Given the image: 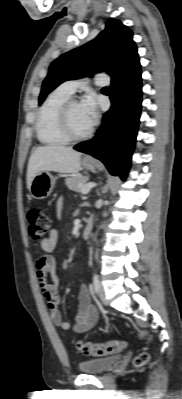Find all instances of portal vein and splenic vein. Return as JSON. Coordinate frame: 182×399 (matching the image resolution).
I'll list each match as a JSON object with an SVG mask.
<instances>
[{
    "label": "portal vein and splenic vein",
    "instance_id": "portal-vein-and-splenic-vein-1",
    "mask_svg": "<svg viewBox=\"0 0 182 399\" xmlns=\"http://www.w3.org/2000/svg\"><path fill=\"white\" fill-rule=\"evenodd\" d=\"M95 183H93V182H90V183H87V184H85V185H83L81 188V193L82 194H87L93 187H95Z\"/></svg>",
    "mask_w": 182,
    "mask_h": 399
}]
</instances>
